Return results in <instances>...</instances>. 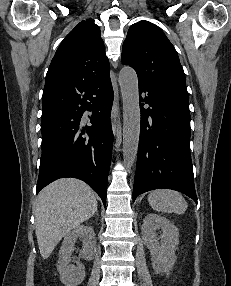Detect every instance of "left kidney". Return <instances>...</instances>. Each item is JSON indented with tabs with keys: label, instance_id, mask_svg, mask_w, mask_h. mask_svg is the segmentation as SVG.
Instances as JSON below:
<instances>
[{
	"label": "left kidney",
	"instance_id": "obj_1",
	"mask_svg": "<svg viewBox=\"0 0 231 286\" xmlns=\"http://www.w3.org/2000/svg\"><path fill=\"white\" fill-rule=\"evenodd\" d=\"M141 229L144 244L151 253L154 271L168 273L177 259L175 251L179 244L178 228L165 217L150 213L144 218ZM157 230L162 231L159 237Z\"/></svg>",
	"mask_w": 231,
	"mask_h": 286
}]
</instances>
